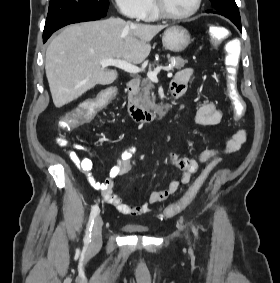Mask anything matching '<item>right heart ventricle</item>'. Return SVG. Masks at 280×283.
Instances as JSON below:
<instances>
[{"label": "right heart ventricle", "mask_w": 280, "mask_h": 283, "mask_svg": "<svg viewBox=\"0 0 280 283\" xmlns=\"http://www.w3.org/2000/svg\"><path fill=\"white\" fill-rule=\"evenodd\" d=\"M143 19L146 20V21H155V20L158 19V16L153 9L151 0H148L147 11H146Z\"/></svg>", "instance_id": "1"}]
</instances>
